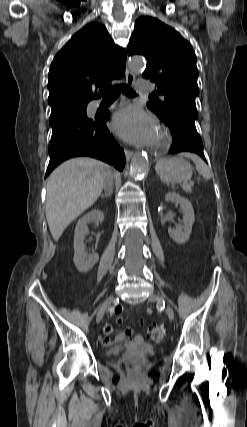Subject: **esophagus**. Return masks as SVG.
I'll use <instances>...</instances> for the list:
<instances>
[{"mask_svg":"<svg viewBox=\"0 0 247 427\" xmlns=\"http://www.w3.org/2000/svg\"><path fill=\"white\" fill-rule=\"evenodd\" d=\"M125 76H126V83L128 85H133L135 82V75L129 70L128 67H126ZM133 155H134L133 151H130V150L125 151V157L127 161H129Z\"/></svg>","mask_w":247,"mask_h":427,"instance_id":"esophagus-1","label":"esophagus"}]
</instances>
